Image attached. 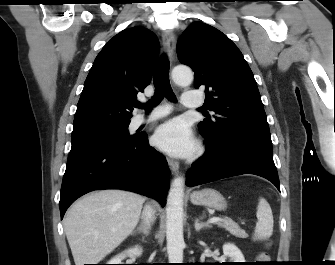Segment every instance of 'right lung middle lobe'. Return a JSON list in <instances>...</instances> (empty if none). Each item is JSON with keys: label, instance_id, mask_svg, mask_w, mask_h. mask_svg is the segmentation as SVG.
<instances>
[{"label": "right lung middle lobe", "instance_id": "right-lung-middle-lobe-1", "mask_svg": "<svg viewBox=\"0 0 335 265\" xmlns=\"http://www.w3.org/2000/svg\"><path fill=\"white\" fill-rule=\"evenodd\" d=\"M130 122H99L74 126L72 131V146L96 142H118L133 138L128 133Z\"/></svg>", "mask_w": 335, "mask_h": 265}]
</instances>
